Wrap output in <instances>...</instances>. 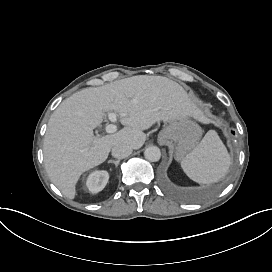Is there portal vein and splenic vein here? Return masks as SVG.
Segmentation results:
<instances>
[{"label":"portal vein and splenic vein","mask_w":272,"mask_h":272,"mask_svg":"<svg viewBox=\"0 0 272 272\" xmlns=\"http://www.w3.org/2000/svg\"><path fill=\"white\" fill-rule=\"evenodd\" d=\"M120 116H125V114H120ZM108 118L111 122L117 121V115L115 113H108ZM117 131V126L114 124H109L106 126V132L107 133H114Z\"/></svg>","instance_id":"portal-vein-and-splenic-vein-1"}]
</instances>
